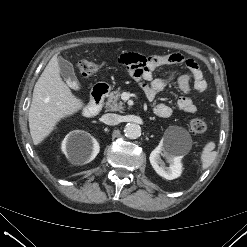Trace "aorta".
Wrapping results in <instances>:
<instances>
[{
  "label": "aorta",
  "instance_id": "762f6f07",
  "mask_svg": "<svg viewBox=\"0 0 247 247\" xmlns=\"http://www.w3.org/2000/svg\"><path fill=\"white\" fill-rule=\"evenodd\" d=\"M124 134L127 138L136 139L141 135V127L136 123H128L124 128Z\"/></svg>",
  "mask_w": 247,
  "mask_h": 247
}]
</instances>
